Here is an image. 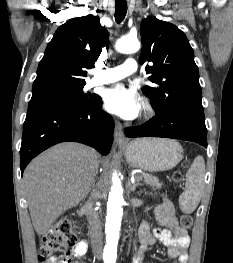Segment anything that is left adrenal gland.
<instances>
[{
	"mask_svg": "<svg viewBox=\"0 0 233 263\" xmlns=\"http://www.w3.org/2000/svg\"><path fill=\"white\" fill-rule=\"evenodd\" d=\"M140 185H142V184H140V183L131 184V182L128 181V187H129V190H130L131 192H134L135 189H136V187H137V186H140Z\"/></svg>",
	"mask_w": 233,
	"mask_h": 263,
	"instance_id": "1",
	"label": "left adrenal gland"
}]
</instances>
